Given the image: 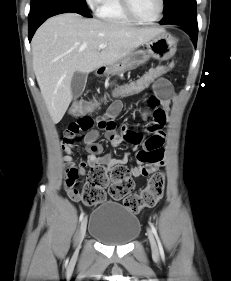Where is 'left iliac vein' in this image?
I'll return each mask as SVG.
<instances>
[{"instance_id":"obj_1","label":"left iliac vein","mask_w":231,"mask_h":281,"mask_svg":"<svg viewBox=\"0 0 231 281\" xmlns=\"http://www.w3.org/2000/svg\"><path fill=\"white\" fill-rule=\"evenodd\" d=\"M147 235H148V239H149V242H150V245H151L152 252L157 254L158 253L157 244H156L154 236H153V234L151 233L150 230H148Z\"/></svg>"}]
</instances>
